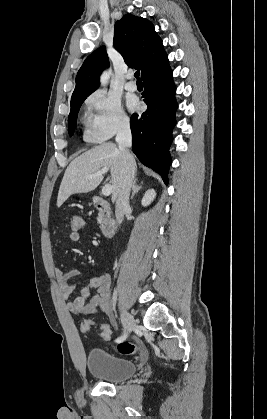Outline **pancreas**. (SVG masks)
Returning <instances> with one entry per match:
<instances>
[{"instance_id":"1","label":"pancreas","mask_w":267,"mask_h":419,"mask_svg":"<svg viewBox=\"0 0 267 419\" xmlns=\"http://www.w3.org/2000/svg\"><path fill=\"white\" fill-rule=\"evenodd\" d=\"M97 221H98L99 224H101L103 222V215L101 213L98 214Z\"/></svg>"}]
</instances>
